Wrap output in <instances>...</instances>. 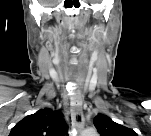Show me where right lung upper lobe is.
<instances>
[{"instance_id":"cb5924a9","label":"right lung upper lobe","mask_w":151,"mask_h":136,"mask_svg":"<svg viewBox=\"0 0 151 136\" xmlns=\"http://www.w3.org/2000/svg\"><path fill=\"white\" fill-rule=\"evenodd\" d=\"M62 113L44 108L19 121L11 130V136H63Z\"/></svg>"}]
</instances>
